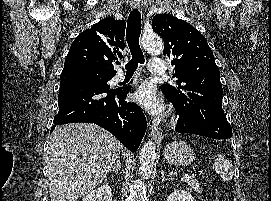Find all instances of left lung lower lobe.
Instances as JSON below:
<instances>
[{"mask_svg": "<svg viewBox=\"0 0 271 201\" xmlns=\"http://www.w3.org/2000/svg\"><path fill=\"white\" fill-rule=\"evenodd\" d=\"M176 131L179 132V133H190V134L202 135V133L199 130H197L195 128H192V127L182 125L179 122H178V124L176 126Z\"/></svg>", "mask_w": 271, "mask_h": 201, "instance_id": "1", "label": "left lung lower lobe"}]
</instances>
